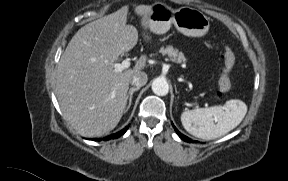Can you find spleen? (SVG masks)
Returning <instances> with one entry per match:
<instances>
[{"label": "spleen", "instance_id": "1", "mask_svg": "<svg viewBox=\"0 0 288 181\" xmlns=\"http://www.w3.org/2000/svg\"><path fill=\"white\" fill-rule=\"evenodd\" d=\"M246 113V104L241 100L232 99L223 106L184 111L181 114V122L191 135L204 140H212L237 127Z\"/></svg>", "mask_w": 288, "mask_h": 181}]
</instances>
